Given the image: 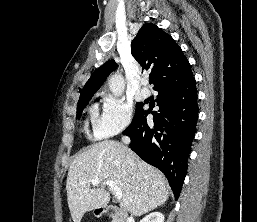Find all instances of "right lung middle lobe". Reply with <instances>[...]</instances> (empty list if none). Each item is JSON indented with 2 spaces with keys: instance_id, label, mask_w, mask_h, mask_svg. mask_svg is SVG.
<instances>
[{
  "instance_id": "1",
  "label": "right lung middle lobe",
  "mask_w": 257,
  "mask_h": 222,
  "mask_svg": "<svg viewBox=\"0 0 257 222\" xmlns=\"http://www.w3.org/2000/svg\"><path fill=\"white\" fill-rule=\"evenodd\" d=\"M92 97H89L85 100H83L80 104L77 105V118L79 119L81 114H82V111L83 109L86 107V105L88 104L89 100L91 99ZM143 105L141 103H137L136 104V113H135V116L138 115L143 109H142ZM134 116V117H135ZM134 119V118H133Z\"/></svg>"
}]
</instances>
